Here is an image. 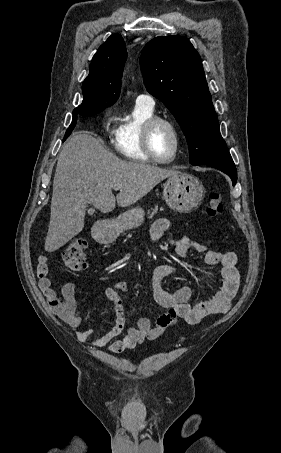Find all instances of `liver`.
Segmentation results:
<instances>
[{
    "mask_svg": "<svg viewBox=\"0 0 281 453\" xmlns=\"http://www.w3.org/2000/svg\"><path fill=\"white\" fill-rule=\"evenodd\" d=\"M179 172L147 162L121 160L87 130L73 132L57 160L45 251L53 253L81 233L87 204L100 212H111L116 202L118 206H130L158 182ZM114 184L122 186L117 196L112 192Z\"/></svg>",
    "mask_w": 281,
    "mask_h": 453,
    "instance_id": "liver-1",
    "label": "liver"
}]
</instances>
